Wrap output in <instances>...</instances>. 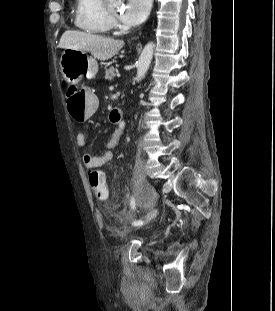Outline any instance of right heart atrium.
<instances>
[{"mask_svg":"<svg viewBox=\"0 0 275 311\" xmlns=\"http://www.w3.org/2000/svg\"><path fill=\"white\" fill-rule=\"evenodd\" d=\"M110 24L114 25V24H115V21L112 19V20L110 21Z\"/></svg>","mask_w":275,"mask_h":311,"instance_id":"right-heart-atrium-1","label":"right heart atrium"}]
</instances>
